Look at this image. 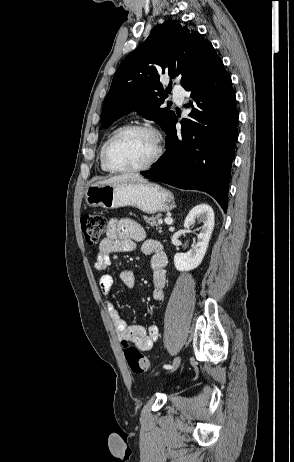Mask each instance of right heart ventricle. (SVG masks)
<instances>
[{
	"label": "right heart ventricle",
	"mask_w": 294,
	"mask_h": 462,
	"mask_svg": "<svg viewBox=\"0 0 294 462\" xmlns=\"http://www.w3.org/2000/svg\"><path fill=\"white\" fill-rule=\"evenodd\" d=\"M118 129V127H115L113 128L110 133L108 134L107 138L105 139V141L103 142V144L101 145L100 147V150H99V164H100V169L103 171V172H108V170L104 167L103 165V162H102V151H103V148H104V145L105 143L107 142V140L110 138V136Z\"/></svg>",
	"instance_id": "obj_1"
}]
</instances>
